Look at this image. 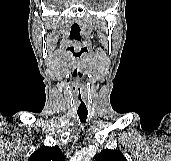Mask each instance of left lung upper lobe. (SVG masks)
<instances>
[{
  "instance_id": "1",
  "label": "left lung upper lobe",
  "mask_w": 171,
  "mask_h": 161,
  "mask_svg": "<svg viewBox=\"0 0 171 161\" xmlns=\"http://www.w3.org/2000/svg\"><path fill=\"white\" fill-rule=\"evenodd\" d=\"M97 161H127L119 150L105 149L99 156Z\"/></svg>"
}]
</instances>
